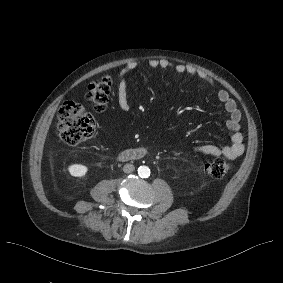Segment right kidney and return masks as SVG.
<instances>
[{
	"instance_id": "right-kidney-1",
	"label": "right kidney",
	"mask_w": 283,
	"mask_h": 283,
	"mask_svg": "<svg viewBox=\"0 0 283 283\" xmlns=\"http://www.w3.org/2000/svg\"><path fill=\"white\" fill-rule=\"evenodd\" d=\"M68 171L74 177H82L87 173L88 168L82 164H73L68 167Z\"/></svg>"
}]
</instances>
